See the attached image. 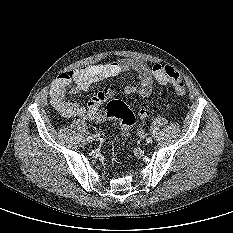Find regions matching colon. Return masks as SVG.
I'll use <instances>...</instances> for the list:
<instances>
[{
	"label": "colon",
	"mask_w": 233,
	"mask_h": 233,
	"mask_svg": "<svg viewBox=\"0 0 233 233\" xmlns=\"http://www.w3.org/2000/svg\"><path fill=\"white\" fill-rule=\"evenodd\" d=\"M154 78L157 83L163 84H172L176 93L184 94L186 87L185 82L181 75L171 66L168 65H155L153 67ZM153 109H157V106L153 107ZM95 113L101 117H113L120 121L122 132L125 136L129 135L131 127L134 125L136 121V117L131 109L120 100H112L107 105L106 109L100 111V109H96ZM149 113L146 109H141L139 114L142 117L147 116Z\"/></svg>",
	"instance_id": "obj_1"
}]
</instances>
